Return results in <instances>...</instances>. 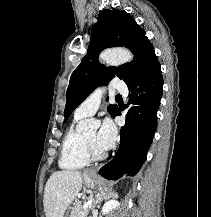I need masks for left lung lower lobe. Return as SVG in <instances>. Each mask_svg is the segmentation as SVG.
I'll use <instances>...</instances> for the list:
<instances>
[{
    "label": "left lung lower lobe",
    "instance_id": "left-lung-lower-lobe-1",
    "mask_svg": "<svg viewBox=\"0 0 211 217\" xmlns=\"http://www.w3.org/2000/svg\"><path fill=\"white\" fill-rule=\"evenodd\" d=\"M128 89L130 94L126 107L131 106L126 113V123L120 130V146L115 157L99 171L109 180L136 175L146 160L163 93L160 64L128 85ZM118 115H121L120 109L115 114Z\"/></svg>",
    "mask_w": 211,
    "mask_h": 217
}]
</instances>
